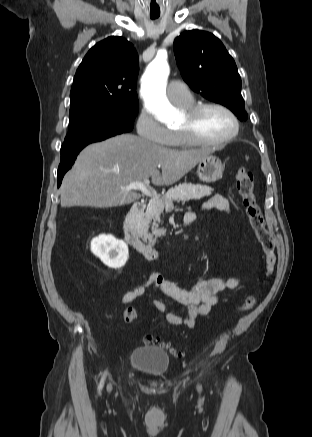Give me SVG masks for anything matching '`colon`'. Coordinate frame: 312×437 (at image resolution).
Masks as SVG:
<instances>
[{
	"instance_id": "1",
	"label": "colon",
	"mask_w": 312,
	"mask_h": 437,
	"mask_svg": "<svg viewBox=\"0 0 312 437\" xmlns=\"http://www.w3.org/2000/svg\"><path fill=\"white\" fill-rule=\"evenodd\" d=\"M236 183L242 199L245 213L264 254L266 274L270 275L276 263L275 245L266 228L261 209L255 197L253 173L246 167H240L236 173ZM254 304L255 298L249 296L242 304L241 309L249 310L254 306ZM137 318L138 313L134 307H128L125 309L124 320L127 323H133L137 320ZM145 342L160 344L163 347H166L164 344H161L159 341L155 340L152 337H147L145 339ZM170 352L172 354H177V351L175 350H170Z\"/></svg>"
}]
</instances>
